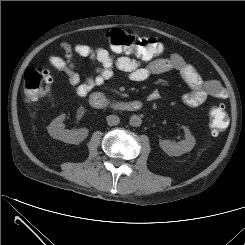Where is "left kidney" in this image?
I'll return each mask as SVG.
<instances>
[{"mask_svg":"<svg viewBox=\"0 0 245 245\" xmlns=\"http://www.w3.org/2000/svg\"><path fill=\"white\" fill-rule=\"evenodd\" d=\"M183 129L185 132V139L183 141L174 143L169 140H161L159 142L160 147L166 154L170 156H180L194 148L196 144L194 136L187 127H183Z\"/></svg>","mask_w":245,"mask_h":245,"instance_id":"1","label":"left kidney"}]
</instances>
